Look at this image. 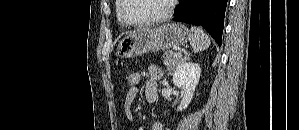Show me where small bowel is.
I'll use <instances>...</instances> for the list:
<instances>
[{"label": "small bowel", "instance_id": "c3829d8e", "mask_svg": "<svg viewBox=\"0 0 299 130\" xmlns=\"http://www.w3.org/2000/svg\"><path fill=\"white\" fill-rule=\"evenodd\" d=\"M141 75L147 78V83L145 86V95L149 100V97L153 94L157 96V82L162 77V71L159 67L155 65L148 66L145 70L142 71ZM139 88L130 89L127 92L124 101V111L127 118L133 121L132 106L138 95ZM151 130H163V124L160 119L154 118L151 121Z\"/></svg>", "mask_w": 299, "mask_h": 130}]
</instances>
